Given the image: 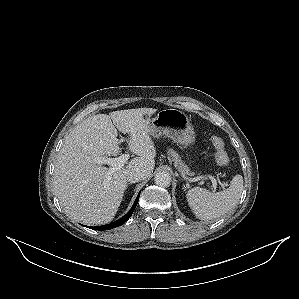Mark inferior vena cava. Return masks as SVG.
Instances as JSON below:
<instances>
[{
  "instance_id": "602c4592",
  "label": "inferior vena cava",
  "mask_w": 299,
  "mask_h": 299,
  "mask_svg": "<svg viewBox=\"0 0 299 299\" xmlns=\"http://www.w3.org/2000/svg\"><path fill=\"white\" fill-rule=\"evenodd\" d=\"M147 174L144 169L135 168L132 169L127 175V181L131 183L142 181L146 178Z\"/></svg>"
}]
</instances>
